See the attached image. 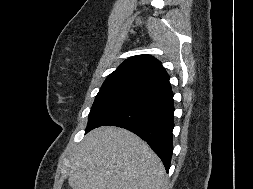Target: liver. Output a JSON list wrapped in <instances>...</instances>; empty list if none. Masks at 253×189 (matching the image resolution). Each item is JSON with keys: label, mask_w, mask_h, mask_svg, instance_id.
<instances>
[{"label": "liver", "mask_w": 253, "mask_h": 189, "mask_svg": "<svg viewBox=\"0 0 253 189\" xmlns=\"http://www.w3.org/2000/svg\"><path fill=\"white\" fill-rule=\"evenodd\" d=\"M73 189H163L160 158L136 134L117 127L88 133L71 159Z\"/></svg>", "instance_id": "liver-1"}]
</instances>
